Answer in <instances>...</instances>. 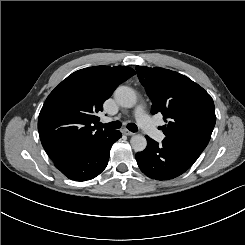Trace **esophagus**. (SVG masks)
Instances as JSON below:
<instances>
[{
    "instance_id": "1",
    "label": "esophagus",
    "mask_w": 245,
    "mask_h": 245,
    "mask_svg": "<svg viewBox=\"0 0 245 245\" xmlns=\"http://www.w3.org/2000/svg\"><path fill=\"white\" fill-rule=\"evenodd\" d=\"M122 133L127 135V136H132L134 135V132H131L130 130L128 129H122Z\"/></svg>"
}]
</instances>
